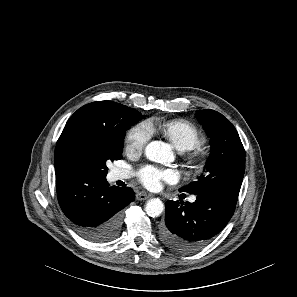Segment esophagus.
<instances>
[{
  "label": "esophagus",
  "mask_w": 297,
  "mask_h": 297,
  "mask_svg": "<svg viewBox=\"0 0 297 297\" xmlns=\"http://www.w3.org/2000/svg\"><path fill=\"white\" fill-rule=\"evenodd\" d=\"M150 196H151V195H148V194H146V193L138 192V193L136 194V199H137V200H140V201H142V200H147V199L150 198Z\"/></svg>",
  "instance_id": "esophagus-1"
}]
</instances>
